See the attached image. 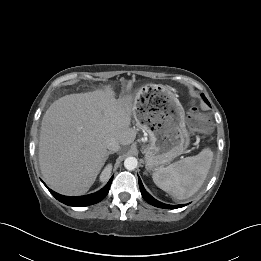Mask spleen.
Returning a JSON list of instances; mask_svg holds the SVG:
<instances>
[{
	"label": "spleen",
	"mask_w": 261,
	"mask_h": 261,
	"mask_svg": "<svg viewBox=\"0 0 261 261\" xmlns=\"http://www.w3.org/2000/svg\"><path fill=\"white\" fill-rule=\"evenodd\" d=\"M212 159L213 152L205 148L196 156L159 168L152 175L153 181L160 189L179 200L190 198L203 185Z\"/></svg>",
	"instance_id": "spleen-1"
}]
</instances>
